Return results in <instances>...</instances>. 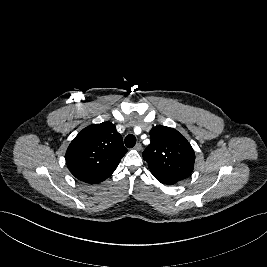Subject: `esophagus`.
<instances>
[{
    "mask_svg": "<svg viewBox=\"0 0 267 267\" xmlns=\"http://www.w3.org/2000/svg\"><path fill=\"white\" fill-rule=\"evenodd\" d=\"M141 148H142V145L140 144V143H137L135 146H134V149L135 150H141Z\"/></svg>",
    "mask_w": 267,
    "mask_h": 267,
    "instance_id": "1",
    "label": "esophagus"
}]
</instances>
